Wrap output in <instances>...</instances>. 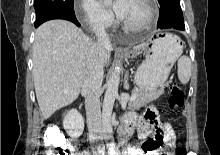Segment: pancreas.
Here are the masks:
<instances>
[{
    "instance_id": "cf45deb5",
    "label": "pancreas",
    "mask_w": 220,
    "mask_h": 155,
    "mask_svg": "<svg viewBox=\"0 0 220 155\" xmlns=\"http://www.w3.org/2000/svg\"><path fill=\"white\" fill-rule=\"evenodd\" d=\"M163 93H164V89H160L159 91H157L155 93H151V94L145 93L143 91H139L137 93L136 99L129 103V108L137 110V109L149 104L150 102L156 100Z\"/></svg>"
}]
</instances>
